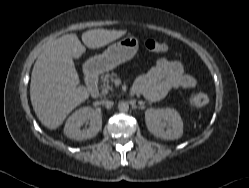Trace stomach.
Segmentation results:
<instances>
[{
	"label": "stomach",
	"mask_w": 249,
	"mask_h": 188,
	"mask_svg": "<svg viewBox=\"0 0 249 188\" xmlns=\"http://www.w3.org/2000/svg\"><path fill=\"white\" fill-rule=\"evenodd\" d=\"M138 39L128 36L110 45L102 54L91 57L84 67L88 72L100 74L132 59L138 50Z\"/></svg>",
	"instance_id": "stomach-1"
}]
</instances>
